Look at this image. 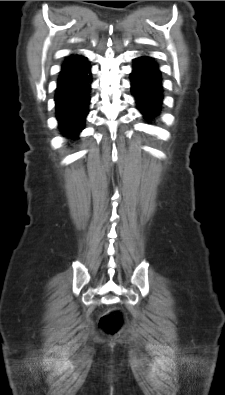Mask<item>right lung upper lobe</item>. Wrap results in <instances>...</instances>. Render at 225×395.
<instances>
[{"label":"right lung upper lobe","instance_id":"cb5924a9","mask_svg":"<svg viewBox=\"0 0 225 395\" xmlns=\"http://www.w3.org/2000/svg\"><path fill=\"white\" fill-rule=\"evenodd\" d=\"M87 62L88 61L84 56L71 54L70 56L65 58L62 64V69L81 66Z\"/></svg>","mask_w":225,"mask_h":395}]
</instances>
